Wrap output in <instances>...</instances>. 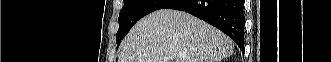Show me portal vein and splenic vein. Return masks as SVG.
I'll return each instance as SVG.
<instances>
[{"mask_svg": "<svg viewBox=\"0 0 331 62\" xmlns=\"http://www.w3.org/2000/svg\"><path fill=\"white\" fill-rule=\"evenodd\" d=\"M167 59H173V57L172 56H169L168 58H165L164 60H167Z\"/></svg>", "mask_w": 331, "mask_h": 62, "instance_id": "18ae733b", "label": "portal vein and splenic vein"}]
</instances>
